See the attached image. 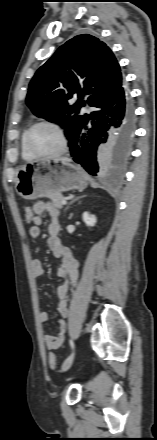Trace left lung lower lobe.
I'll return each mask as SVG.
<instances>
[{
  "label": "left lung lower lobe",
  "instance_id": "left-lung-lower-lobe-1",
  "mask_svg": "<svg viewBox=\"0 0 157 440\" xmlns=\"http://www.w3.org/2000/svg\"><path fill=\"white\" fill-rule=\"evenodd\" d=\"M71 137L69 148L76 163L91 175L117 173L129 154L135 115L127 90L120 87L94 106ZM91 120V126H87Z\"/></svg>",
  "mask_w": 157,
  "mask_h": 440
}]
</instances>
